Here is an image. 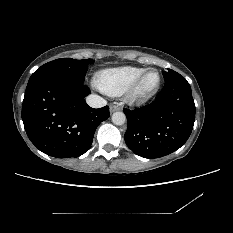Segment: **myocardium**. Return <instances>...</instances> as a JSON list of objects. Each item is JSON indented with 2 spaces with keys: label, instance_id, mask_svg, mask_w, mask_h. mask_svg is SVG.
I'll return each instance as SVG.
<instances>
[{
  "label": "myocardium",
  "instance_id": "1",
  "mask_svg": "<svg viewBox=\"0 0 233 233\" xmlns=\"http://www.w3.org/2000/svg\"><path fill=\"white\" fill-rule=\"evenodd\" d=\"M151 71H155L157 73L158 76L157 83L149 91L143 92L141 91V84L145 76ZM160 83H161V77L158 70L155 68L146 69L135 79V81L128 88V90L126 91V99L131 103L146 101L156 94V92L159 89Z\"/></svg>",
  "mask_w": 233,
  "mask_h": 233
}]
</instances>
